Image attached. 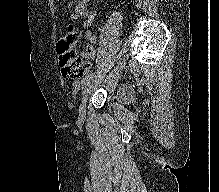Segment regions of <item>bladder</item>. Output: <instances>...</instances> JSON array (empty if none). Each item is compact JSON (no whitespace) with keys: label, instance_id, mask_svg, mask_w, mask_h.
Here are the masks:
<instances>
[{"label":"bladder","instance_id":"bladder-1","mask_svg":"<svg viewBox=\"0 0 219 192\" xmlns=\"http://www.w3.org/2000/svg\"><path fill=\"white\" fill-rule=\"evenodd\" d=\"M132 99V89L129 85L124 83L117 84L110 95L111 102L123 107L129 106L132 102Z\"/></svg>","mask_w":219,"mask_h":192}]
</instances>
